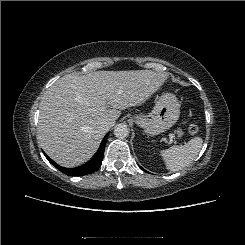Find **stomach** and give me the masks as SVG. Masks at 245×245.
I'll return each instance as SVG.
<instances>
[{"mask_svg":"<svg viewBox=\"0 0 245 245\" xmlns=\"http://www.w3.org/2000/svg\"><path fill=\"white\" fill-rule=\"evenodd\" d=\"M180 104L172 93H163L153 110L134 116L135 123L149 135H158L170 129L179 119Z\"/></svg>","mask_w":245,"mask_h":245,"instance_id":"stomach-1","label":"stomach"}]
</instances>
